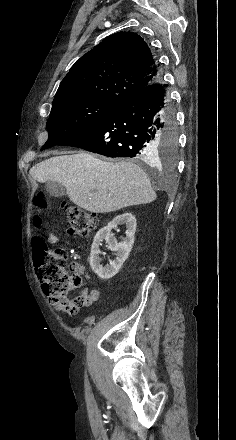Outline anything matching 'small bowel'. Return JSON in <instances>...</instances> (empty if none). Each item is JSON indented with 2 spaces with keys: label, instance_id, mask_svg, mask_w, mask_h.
I'll use <instances>...</instances> for the list:
<instances>
[{
  "label": "small bowel",
  "instance_id": "obj_1",
  "mask_svg": "<svg viewBox=\"0 0 236 440\" xmlns=\"http://www.w3.org/2000/svg\"><path fill=\"white\" fill-rule=\"evenodd\" d=\"M58 241H59V238L57 236H55L54 234L48 235V238H47L48 244L53 245V244H56ZM39 252H40L39 247L37 245H34L33 246L34 262L38 258ZM73 267L80 274H85L84 267L81 264H76ZM86 277H88V275H86ZM79 295L84 299L82 306L88 307V306L92 305L93 303H95L96 301H98L100 293L97 289L88 290L85 288L81 291V293Z\"/></svg>",
  "mask_w": 236,
  "mask_h": 440
}]
</instances>
